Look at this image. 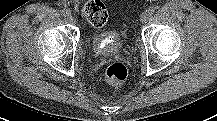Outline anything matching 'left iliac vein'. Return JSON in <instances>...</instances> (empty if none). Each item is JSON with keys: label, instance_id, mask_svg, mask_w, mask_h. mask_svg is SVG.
<instances>
[{"label": "left iliac vein", "instance_id": "left-iliac-vein-1", "mask_svg": "<svg viewBox=\"0 0 217 121\" xmlns=\"http://www.w3.org/2000/svg\"><path fill=\"white\" fill-rule=\"evenodd\" d=\"M150 14L148 13V11H144L141 16H140V21L142 23H146L149 20Z\"/></svg>", "mask_w": 217, "mask_h": 121}]
</instances>
